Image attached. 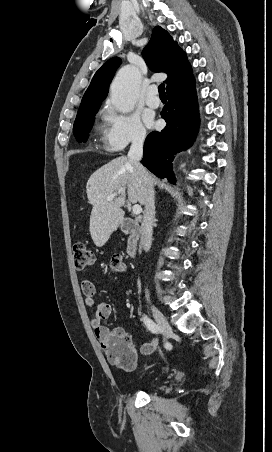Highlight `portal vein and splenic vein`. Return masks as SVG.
Instances as JSON below:
<instances>
[{"label":"portal vein and splenic vein","instance_id":"portal-vein-and-splenic-vein-1","mask_svg":"<svg viewBox=\"0 0 272 452\" xmlns=\"http://www.w3.org/2000/svg\"><path fill=\"white\" fill-rule=\"evenodd\" d=\"M118 194H120V191L115 192V193L111 194L110 196H108L107 200H108V201L113 200ZM132 212H133V214H135V215H139V214L142 212L141 206H140V205H137V204H136V205H133V207H132Z\"/></svg>","mask_w":272,"mask_h":452}]
</instances>
